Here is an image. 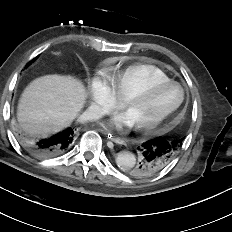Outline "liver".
Listing matches in <instances>:
<instances>
[{"label":"liver","instance_id":"obj_1","mask_svg":"<svg viewBox=\"0 0 232 232\" xmlns=\"http://www.w3.org/2000/svg\"><path fill=\"white\" fill-rule=\"evenodd\" d=\"M85 100L86 91L79 80L57 74L42 76L22 93L17 119L25 134L46 138L69 126Z\"/></svg>","mask_w":232,"mask_h":232}]
</instances>
